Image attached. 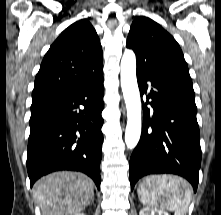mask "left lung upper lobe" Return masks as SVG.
<instances>
[{"instance_id": "obj_1", "label": "left lung upper lobe", "mask_w": 221, "mask_h": 215, "mask_svg": "<svg viewBox=\"0 0 221 215\" xmlns=\"http://www.w3.org/2000/svg\"><path fill=\"white\" fill-rule=\"evenodd\" d=\"M126 46L137 58V70L169 77L193 88L189 69L176 40L152 19L138 16Z\"/></svg>"}]
</instances>
